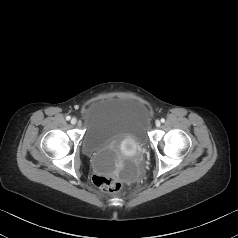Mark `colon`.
<instances>
[{
	"instance_id": "1",
	"label": "colon",
	"mask_w": 238,
	"mask_h": 238,
	"mask_svg": "<svg viewBox=\"0 0 238 238\" xmlns=\"http://www.w3.org/2000/svg\"><path fill=\"white\" fill-rule=\"evenodd\" d=\"M93 183L108 192H117L121 189V180L116 176L95 173L92 177Z\"/></svg>"
}]
</instances>
